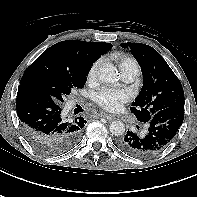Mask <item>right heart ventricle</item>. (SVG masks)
<instances>
[{"instance_id":"1","label":"right heart ventricle","mask_w":197,"mask_h":197,"mask_svg":"<svg viewBox=\"0 0 197 197\" xmlns=\"http://www.w3.org/2000/svg\"><path fill=\"white\" fill-rule=\"evenodd\" d=\"M121 72L128 70H135L139 72V65L137 61L130 56H121L118 60Z\"/></svg>"}]
</instances>
